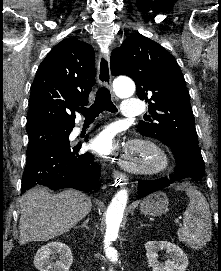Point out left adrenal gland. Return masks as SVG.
<instances>
[{
	"mask_svg": "<svg viewBox=\"0 0 221 271\" xmlns=\"http://www.w3.org/2000/svg\"><path fill=\"white\" fill-rule=\"evenodd\" d=\"M142 225H149V223H141L140 221V227H142Z\"/></svg>",
	"mask_w": 221,
	"mask_h": 271,
	"instance_id": "obj_1",
	"label": "left adrenal gland"
}]
</instances>
